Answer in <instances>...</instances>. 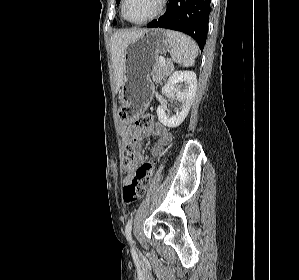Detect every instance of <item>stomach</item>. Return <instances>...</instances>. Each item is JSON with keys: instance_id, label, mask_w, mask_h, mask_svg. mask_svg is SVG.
<instances>
[{"instance_id": "1", "label": "stomach", "mask_w": 299, "mask_h": 280, "mask_svg": "<svg viewBox=\"0 0 299 280\" xmlns=\"http://www.w3.org/2000/svg\"><path fill=\"white\" fill-rule=\"evenodd\" d=\"M170 48L163 29L144 30L129 42L125 50L124 79L120 89V104L124 120L142 114L153 93L150 79L158 56Z\"/></svg>"}]
</instances>
